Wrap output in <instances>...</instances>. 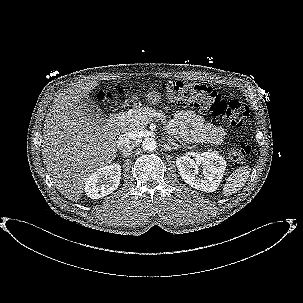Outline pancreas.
<instances>
[{"instance_id":"cf45deb5","label":"pancreas","mask_w":303,"mask_h":303,"mask_svg":"<svg viewBox=\"0 0 303 303\" xmlns=\"http://www.w3.org/2000/svg\"><path fill=\"white\" fill-rule=\"evenodd\" d=\"M153 119L161 121L163 124L166 123V116L163 111H157L149 107L136 108L121 115L119 128L122 133L140 131ZM215 153L217 152L215 151Z\"/></svg>"}]
</instances>
